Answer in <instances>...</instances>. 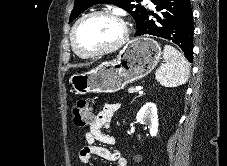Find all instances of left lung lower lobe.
<instances>
[{
    "mask_svg": "<svg viewBox=\"0 0 227 166\" xmlns=\"http://www.w3.org/2000/svg\"><path fill=\"white\" fill-rule=\"evenodd\" d=\"M159 15L152 14L156 20H149L151 15L146 12L136 36L154 35L171 40L183 51L187 59L192 62L193 49V18L189 0H152Z\"/></svg>",
    "mask_w": 227,
    "mask_h": 166,
    "instance_id": "obj_1",
    "label": "left lung lower lobe"
}]
</instances>
